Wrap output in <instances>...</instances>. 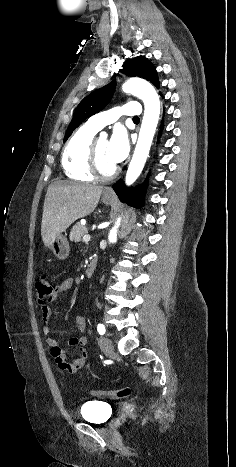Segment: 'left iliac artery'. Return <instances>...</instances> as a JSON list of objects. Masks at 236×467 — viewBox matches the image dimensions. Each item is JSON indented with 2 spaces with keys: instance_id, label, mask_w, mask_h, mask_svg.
I'll list each match as a JSON object with an SVG mask.
<instances>
[{
  "instance_id": "1",
  "label": "left iliac artery",
  "mask_w": 236,
  "mask_h": 467,
  "mask_svg": "<svg viewBox=\"0 0 236 467\" xmlns=\"http://www.w3.org/2000/svg\"><path fill=\"white\" fill-rule=\"evenodd\" d=\"M97 331L100 335H104L106 332L105 326L101 323L97 325Z\"/></svg>"
}]
</instances>
